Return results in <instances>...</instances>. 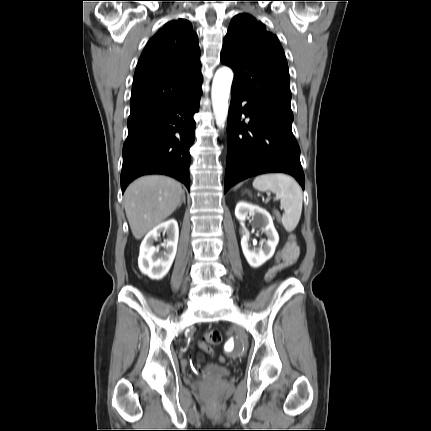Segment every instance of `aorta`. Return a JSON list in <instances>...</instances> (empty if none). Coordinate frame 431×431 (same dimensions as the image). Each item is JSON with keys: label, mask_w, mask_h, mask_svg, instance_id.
Segmentation results:
<instances>
[{"label": "aorta", "mask_w": 431, "mask_h": 431, "mask_svg": "<svg viewBox=\"0 0 431 431\" xmlns=\"http://www.w3.org/2000/svg\"><path fill=\"white\" fill-rule=\"evenodd\" d=\"M233 71L228 67H222L215 73L212 83V104L216 115L217 124L224 126L228 113V99L233 81Z\"/></svg>", "instance_id": "aorta-1"}]
</instances>
